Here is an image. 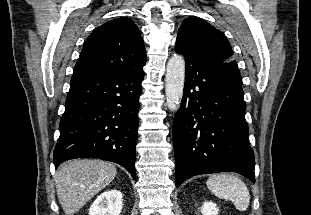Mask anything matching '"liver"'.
Masks as SVG:
<instances>
[{"instance_id": "6515ba94", "label": "liver", "mask_w": 311, "mask_h": 215, "mask_svg": "<svg viewBox=\"0 0 311 215\" xmlns=\"http://www.w3.org/2000/svg\"><path fill=\"white\" fill-rule=\"evenodd\" d=\"M116 167L97 159H76L63 163L56 173V189L63 211L73 215L113 181Z\"/></svg>"}]
</instances>
